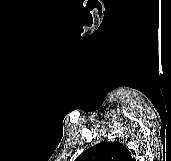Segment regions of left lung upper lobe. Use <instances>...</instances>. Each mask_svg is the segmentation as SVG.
<instances>
[{"label":"left lung upper lobe","mask_w":171,"mask_h":161,"mask_svg":"<svg viewBox=\"0 0 171 161\" xmlns=\"http://www.w3.org/2000/svg\"><path fill=\"white\" fill-rule=\"evenodd\" d=\"M75 161H133L129 150L119 142H101L81 153Z\"/></svg>","instance_id":"1"}]
</instances>
